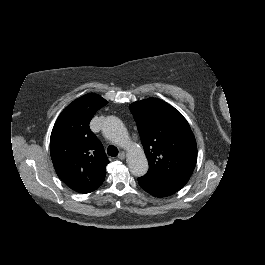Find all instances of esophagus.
<instances>
[{
	"label": "esophagus",
	"mask_w": 265,
	"mask_h": 265,
	"mask_svg": "<svg viewBox=\"0 0 265 265\" xmlns=\"http://www.w3.org/2000/svg\"><path fill=\"white\" fill-rule=\"evenodd\" d=\"M118 159L119 160H124L125 159V153L123 151L119 153Z\"/></svg>",
	"instance_id": "obj_1"
}]
</instances>
